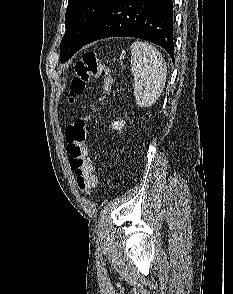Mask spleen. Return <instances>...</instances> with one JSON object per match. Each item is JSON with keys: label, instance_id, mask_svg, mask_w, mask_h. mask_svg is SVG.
I'll return each instance as SVG.
<instances>
[{"label": "spleen", "instance_id": "obj_1", "mask_svg": "<svg viewBox=\"0 0 233 294\" xmlns=\"http://www.w3.org/2000/svg\"><path fill=\"white\" fill-rule=\"evenodd\" d=\"M130 63L135 101L139 107H149L159 99L165 86L167 66L163 56L151 44L135 41L131 44Z\"/></svg>", "mask_w": 233, "mask_h": 294}]
</instances>
